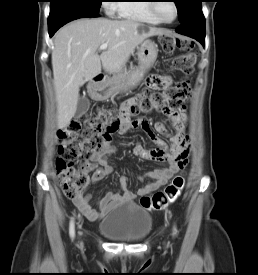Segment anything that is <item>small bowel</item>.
I'll return each instance as SVG.
<instances>
[{
	"label": "small bowel",
	"instance_id": "c3829d8e",
	"mask_svg": "<svg viewBox=\"0 0 258 275\" xmlns=\"http://www.w3.org/2000/svg\"><path fill=\"white\" fill-rule=\"evenodd\" d=\"M154 79H159L162 87H169L172 84V80L168 76L151 75L148 78L149 82ZM149 87L153 88L150 84ZM168 116L174 125L175 133H170L162 123L152 124L146 119L136 120L135 128L142 129L157 147L147 149L141 144L135 143L132 148L133 155L145 160L164 162L166 166L154 169L144 176H140L138 178L139 181H144L145 179H149V181L136 192L128 188L129 179L126 176H119L118 190L106 193L97 201L95 206L91 204V197L89 195L73 199L74 204L82 215L89 220H97L117 206L132 203L137 196H145L156 191L164 186L175 173L185 167L189 159L191 147L189 138L185 134L187 121L186 107L183 105L178 110L169 113ZM127 129L122 128L119 133H125ZM161 137H166L170 145L167 146ZM116 151V147L108 141L100 151L93 152L90 155L87 163L90 166L89 171H93L92 182H100L105 177L113 174L114 168L109 164L108 158L115 154Z\"/></svg>",
	"mask_w": 258,
	"mask_h": 275
}]
</instances>
